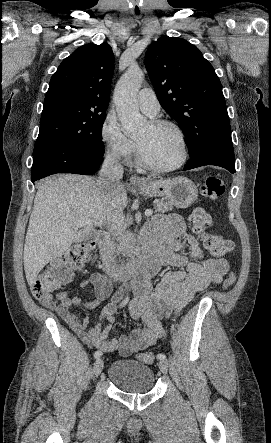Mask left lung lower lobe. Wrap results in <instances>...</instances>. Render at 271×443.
I'll return each instance as SVG.
<instances>
[{
    "mask_svg": "<svg viewBox=\"0 0 271 443\" xmlns=\"http://www.w3.org/2000/svg\"><path fill=\"white\" fill-rule=\"evenodd\" d=\"M204 165H216L235 172V156L232 147L213 145L189 159L184 170L193 169Z\"/></svg>",
    "mask_w": 271,
    "mask_h": 443,
    "instance_id": "1",
    "label": "left lung lower lobe"
}]
</instances>
